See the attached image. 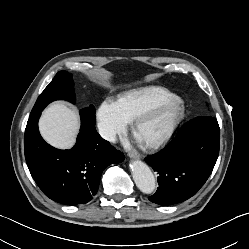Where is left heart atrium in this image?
<instances>
[{
    "instance_id": "left-heart-atrium-1",
    "label": "left heart atrium",
    "mask_w": 249,
    "mask_h": 249,
    "mask_svg": "<svg viewBox=\"0 0 249 249\" xmlns=\"http://www.w3.org/2000/svg\"><path fill=\"white\" fill-rule=\"evenodd\" d=\"M138 140H140L141 141V139H140V137L138 136Z\"/></svg>"
}]
</instances>
